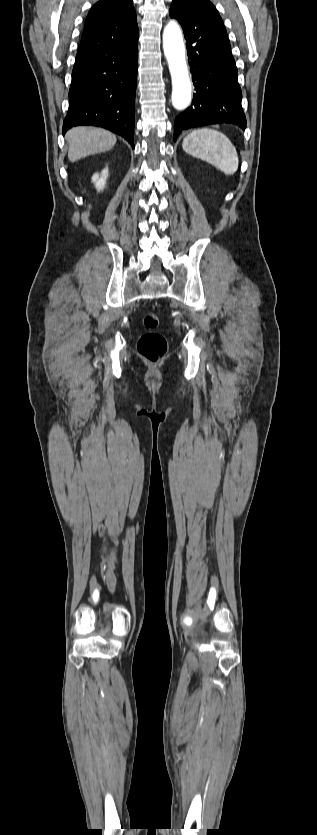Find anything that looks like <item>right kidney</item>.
I'll return each instance as SVG.
<instances>
[{"label": "right kidney", "mask_w": 317, "mask_h": 835, "mask_svg": "<svg viewBox=\"0 0 317 835\" xmlns=\"http://www.w3.org/2000/svg\"><path fill=\"white\" fill-rule=\"evenodd\" d=\"M108 177V168H105L101 174L95 173L92 177V181L95 184V187L98 191L103 190L106 185V180Z\"/></svg>", "instance_id": "ca27d5eb"}]
</instances>
